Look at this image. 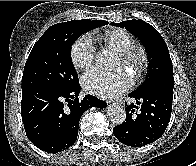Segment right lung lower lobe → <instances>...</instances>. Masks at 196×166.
Here are the masks:
<instances>
[{"mask_svg":"<svg viewBox=\"0 0 196 166\" xmlns=\"http://www.w3.org/2000/svg\"><path fill=\"white\" fill-rule=\"evenodd\" d=\"M80 85L68 91L46 86L22 89L21 114L28 139L42 151L61 152L77 139L81 115L107 103L92 95L78 99Z\"/></svg>","mask_w":196,"mask_h":166,"instance_id":"98d812e1","label":"right lung lower lobe"}]
</instances>
